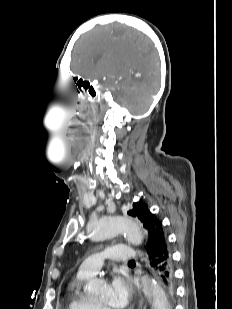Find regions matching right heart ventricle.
I'll return each mask as SVG.
<instances>
[{"instance_id": "e07e8e85", "label": "right heart ventricle", "mask_w": 232, "mask_h": 309, "mask_svg": "<svg viewBox=\"0 0 232 309\" xmlns=\"http://www.w3.org/2000/svg\"><path fill=\"white\" fill-rule=\"evenodd\" d=\"M89 278L77 273L68 285L67 309H98L95 300L83 291V284Z\"/></svg>"}]
</instances>
